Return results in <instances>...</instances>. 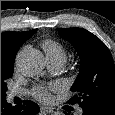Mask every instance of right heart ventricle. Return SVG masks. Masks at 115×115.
<instances>
[{
    "label": "right heart ventricle",
    "instance_id": "obj_1",
    "mask_svg": "<svg viewBox=\"0 0 115 115\" xmlns=\"http://www.w3.org/2000/svg\"><path fill=\"white\" fill-rule=\"evenodd\" d=\"M42 47L47 58H61L65 61L66 53L63 46L59 42L53 39H46L43 41Z\"/></svg>",
    "mask_w": 115,
    "mask_h": 115
}]
</instances>
